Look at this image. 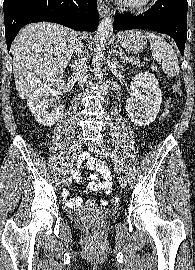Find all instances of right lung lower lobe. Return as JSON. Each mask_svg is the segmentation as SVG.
Segmentation results:
<instances>
[{
	"mask_svg": "<svg viewBox=\"0 0 195 270\" xmlns=\"http://www.w3.org/2000/svg\"><path fill=\"white\" fill-rule=\"evenodd\" d=\"M8 51L19 30L33 22L49 21L78 31H95L99 14L96 0H4Z\"/></svg>",
	"mask_w": 195,
	"mask_h": 270,
	"instance_id": "1",
	"label": "right lung lower lobe"
}]
</instances>
